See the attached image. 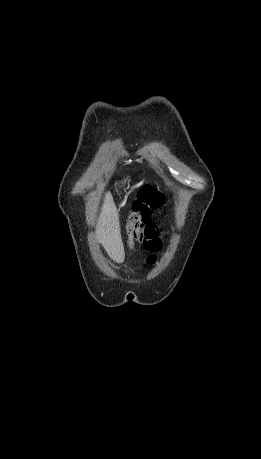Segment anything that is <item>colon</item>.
<instances>
[{
    "label": "colon",
    "instance_id": "1",
    "mask_svg": "<svg viewBox=\"0 0 261 459\" xmlns=\"http://www.w3.org/2000/svg\"><path fill=\"white\" fill-rule=\"evenodd\" d=\"M165 201L164 195L154 186L146 185L138 193L137 199L132 205V215L127 217V222L122 224L123 233L128 240L126 249L131 251L135 242V234L138 238H158L160 228L157 219H150L154 209L161 206Z\"/></svg>",
    "mask_w": 261,
    "mask_h": 459
}]
</instances>
